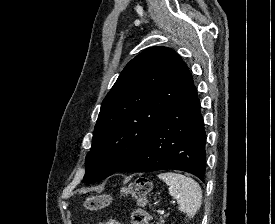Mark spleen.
Instances as JSON below:
<instances>
[{
    "mask_svg": "<svg viewBox=\"0 0 275 224\" xmlns=\"http://www.w3.org/2000/svg\"><path fill=\"white\" fill-rule=\"evenodd\" d=\"M158 177L169 186V193L177 199L179 210L193 218L201 207L202 191L199 184L190 177L179 173L165 172Z\"/></svg>",
    "mask_w": 275,
    "mask_h": 224,
    "instance_id": "obj_1",
    "label": "spleen"
}]
</instances>
